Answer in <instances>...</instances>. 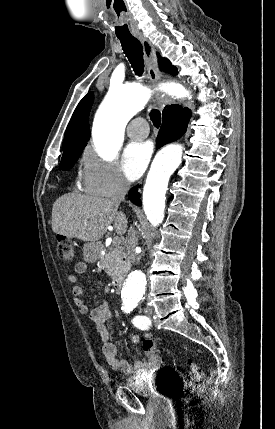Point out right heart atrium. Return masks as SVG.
<instances>
[{"mask_svg": "<svg viewBox=\"0 0 275 429\" xmlns=\"http://www.w3.org/2000/svg\"><path fill=\"white\" fill-rule=\"evenodd\" d=\"M81 180L85 191L102 197L115 196L129 186L115 162L102 159L90 148L81 157Z\"/></svg>", "mask_w": 275, "mask_h": 429, "instance_id": "right-heart-atrium-1", "label": "right heart atrium"}]
</instances>
